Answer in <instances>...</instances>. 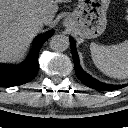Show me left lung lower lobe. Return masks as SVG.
Wrapping results in <instances>:
<instances>
[{"mask_svg": "<svg viewBox=\"0 0 128 128\" xmlns=\"http://www.w3.org/2000/svg\"><path fill=\"white\" fill-rule=\"evenodd\" d=\"M70 44H71L72 57L74 61L75 73L83 84H85L86 86L90 88H93L96 90H102V91H113V90L120 89L126 86V85H122V86L108 85V84L95 80L90 75L85 73L80 67L79 57H78V54L75 48V42L72 38H70Z\"/></svg>", "mask_w": 128, "mask_h": 128, "instance_id": "obj_1", "label": "left lung lower lobe"}]
</instances>
